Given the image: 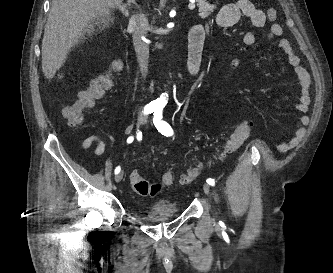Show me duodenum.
Listing matches in <instances>:
<instances>
[{
	"label": "duodenum",
	"mask_w": 333,
	"mask_h": 273,
	"mask_svg": "<svg viewBox=\"0 0 333 273\" xmlns=\"http://www.w3.org/2000/svg\"><path fill=\"white\" fill-rule=\"evenodd\" d=\"M204 40V28L201 25H196L190 33L188 44V60L186 65V73L190 77H196L200 73ZM139 47H143L142 42H139Z\"/></svg>",
	"instance_id": "obj_1"
}]
</instances>
